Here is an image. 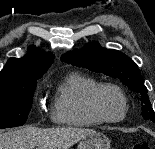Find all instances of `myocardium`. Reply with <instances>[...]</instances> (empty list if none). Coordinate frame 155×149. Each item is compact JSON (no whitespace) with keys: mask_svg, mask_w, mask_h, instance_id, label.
Here are the masks:
<instances>
[{"mask_svg":"<svg viewBox=\"0 0 155 149\" xmlns=\"http://www.w3.org/2000/svg\"><path fill=\"white\" fill-rule=\"evenodd\" d=\"M104 90H112L116 92L122 99L124 109L123 113L118 118H110L108 117L101 109L100 103H99V96ZM90 101V107L93 111V113L103 122L106 123H118L123 121L129 112V101L125 94V92L116 84L113 83H100L91 91L89 96Z\"/></svg>","mask_w":155,"mask_h":149,"instance_id":"obj_1","label":"myocardium"}]
</instances>
